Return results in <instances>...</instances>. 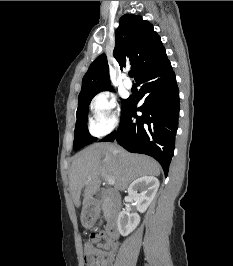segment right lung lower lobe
I'll return each mask as SVG.
<instances>
[{
    "label": "right lung lower lobe",
    "mask_w": 233,
    "mask_h": 266,
    "mask_svg": "<svg viewBox=\"0 0 233 266\" xmlns=\"http://www.w3.org/2000/svg\"><path fill=\"white\" fill-rule=\"evenodd\" d=\"M136 82L141 85L139 100L144 98L145 102L137 108L138 101L128 98L122 108L117 135L114 131L100 141L116 138L126 150L154 157L167 177L180 110L175 73L167 56L142 73ZM137 111L142 116H137Z\"/></svg>",
    "instance_id": "obj_1"
}]
</instances>
